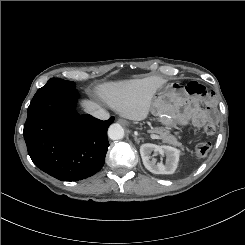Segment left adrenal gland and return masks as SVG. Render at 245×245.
I'll use <instances>...</instances> for the list:
<instances>
[{
    "instance_id": "obj_1",
    "label": "left adrenal gland",
    "mask_w": 245,
    "mask_h": 245,
    "mask_svg": "<svg viewBox=\"0 0 245 245\" xmlns=\"http://www.w3.org/2000/svg\"><path fill=\"white\" fill-rule=\"evenodd\" d=\"M134 140L136 141L137 144H139L140 140H143V138H137L136 136H134Z\"/></svg>"
}]
</instances>
